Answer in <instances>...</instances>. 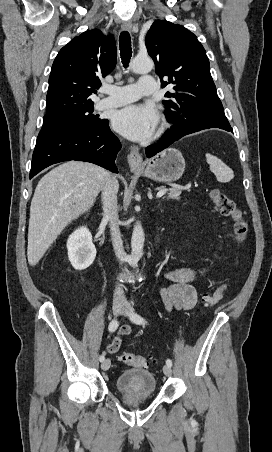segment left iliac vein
I'll list each match as a JSON object with an SVG mask.
<instances>
[{
  "instance_id": "obj_1",
  "label": "left iliac vein",
  "mask_w": 272,
  "mask_h": 452,
  "mask_svg": "<svg viewBox=\"0 0 272 452\" xmlns=\"http://www.w3.org/2000/svg\"><path fill=\"white\" fill-rule=\"evenodd\" d=\"M132 312L133 308L130 306L129 303L125 302L123 304L121 314L127 317H131ZM163 372L167 377H170L172 375V368L166 364L163 366Z\"/></svg>"
}]
</instances>
